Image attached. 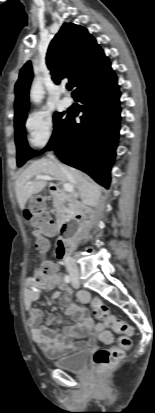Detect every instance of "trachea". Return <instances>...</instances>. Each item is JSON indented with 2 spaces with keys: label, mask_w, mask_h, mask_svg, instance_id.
<instances>
[{
  "label": "trachea",
  "mask_w": 155,
  "mask_h": 413,
  "mask_svg": "<svg viewBox=\"0 0 155 413\" xmlns=\"http://www.w3.org/2000/svg\"><path fill=\"white\" fill-rule=\"evenodd\" d=\"M67 89L71 90L72 89V85L71 84H67Z\"/></svg>",
  "instance_id": "3493384b"
}]
</instances>
